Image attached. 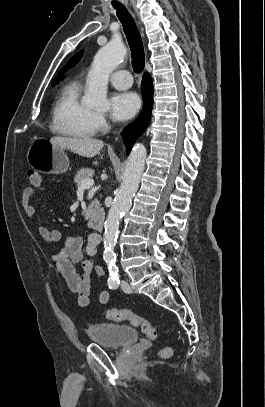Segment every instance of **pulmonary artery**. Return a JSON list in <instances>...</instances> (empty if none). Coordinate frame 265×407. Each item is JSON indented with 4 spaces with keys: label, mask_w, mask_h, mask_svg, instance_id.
<instances>
[{
    "label": "pulmonary artery",
    "mask_w": 265,
    "mask_h": 407,
    "mask_svg": "<svg viewBox=\"0 0 265 407\" xmlns=\"http://www.w3.org/2000/svg\"><path fill=\"white\" fill-rule=\"evenodd\" d=\"M112 85L118 89H128L132 85L131 74L127 70L115 71L110 76Z\"/></svg>",
    "instance_id": "e3ab8cb5"
}]
</instances>
